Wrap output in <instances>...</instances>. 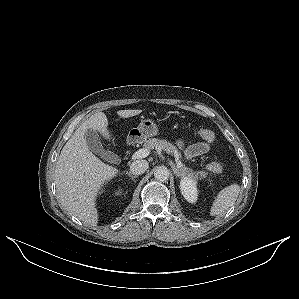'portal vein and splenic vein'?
<instances>
[{
    "label": "portal vein and splenic vein",
    "mask_w": 299,
    "mask_h": 299,
    "mask_svg": "<svg viewBox=\"0 0 299 299\" xmlns=\"http://www.w3.org/2000/svg\"><path fill=\"white\" fill-rule=\"evenodd\" d=\"M149 153H150V150L148 148L139 149L132 155V159L136 160L139 158H145L149 155ZM176 165L178 168H180L182 166V163L179 159H176Z\"/></svg>",
    "instance_id": "portal-vein-and-splenic-vein-1"
}]
</instances>
